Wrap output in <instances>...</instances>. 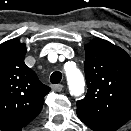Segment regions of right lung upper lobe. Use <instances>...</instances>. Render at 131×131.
<instances>
[{"mask_svg": "<svg viewBox=\"0 0 131 131\" xmlns=\"http://www.w3.org/2000/svg\"><path fill=\"white\" fill-rule=\"evenodd\" d=\"M26 45L18 39L0 45V131H21L41 111L51 90L24 63Z\"/></svg>", "mask_w": 131, "mask_h": 131, "instance_id": "obj_1", "label": "right lung upper lobe"}]
</instances>
